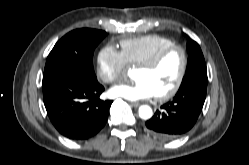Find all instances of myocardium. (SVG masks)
Wrapping results in <instances>:
<instances>
[{
	"instance_id": "myocardium-1",
	"label": "myocardium",
	"mask_w": 249,
	"mask_h": 165,
	"mask_svg": "<svg viewBox=\"0 0 249 165\" xmlns=\"http://www.w3.org/2000/svg\"><path fill=\"white\" fill-rule=\"evenodd\" d=\"M174 51H178L181 54V59H182L181 68L178 73L177 79L172 85V87L168 89L166 92L155 95V97L159 101L168 100L169 98L173 97L180 89L188 68V54L186 49L181 45L173 44L159 51L150 60L140 65H137V68L145 70H155L166 59V57Z\"/></svg>"
}]
</instances>
